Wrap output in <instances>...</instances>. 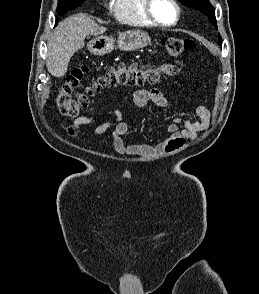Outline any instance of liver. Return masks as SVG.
I'll return each mask as SVG.
<instances>
[{"mask_svg":"<svg viewBox=\"0 0 259 294\" xmlns=\"http://www.w3.org/2000/svg\"><path fill=\"white\" fill-rule=\"evenodd\" d=\"M106 30L84 13L72 15L61 21L48 40V72L54 77H63L71 57L84 47L86 36L102 34Z\"/></svg>","mask_w":259,"mask_h":294,"instance_id":"obj_1","label":"liver"}]
</instances>
